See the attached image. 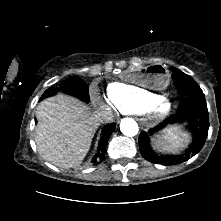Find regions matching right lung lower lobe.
<instances>
[{"instance_id":"98d812e1","label":"right lung lower lobe","mask_w":221,"mask_h":221,"mask_svg":"<svg viewBox=\"0 0 221 221\" xmlns=\"http://www.w3.org/2000/svg\"><path fill=\"white\" fill-rule=\"evenodd\" d=\"M115 129V124H107L102 130V136L99 143V153L93 158L94 164H99L105 157L106 146L111 133Z\"/></svg>"}]
</instances>
